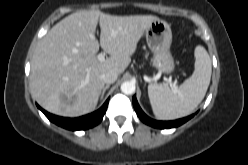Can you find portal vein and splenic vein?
I'll return each instance as SVG.
<instances>
[{
    "mask_svg": "<svg viewBox=\"0 0 248 165\" xmlns=\"http://www.w3.org/2000/svg\"><path fill=\"white\" fill-rule=\"evenodd\" d=\"M97 58H98L99 61L102 62V61L105 60V54H104V53H99V54L97 55ZM173 87H174V88H177L176 83L173 84Z\"/></svg>",
    "mask_w": 248,
    "mask_h": 165,
    "instance_id": "18ae733b",
    "label": "portal vein and splenic vein"
}]
</instances>
